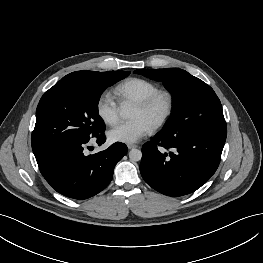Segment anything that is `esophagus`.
I'll use <instances>...</instances> for the list:
<instances>
[{"mask_svg": "<svg viewBox=\"0 0 263 263\" xmlns=\"http://www.w3.org/2000/svg\"><path fill=\"white\" fill-rule=\"evenodd\" d=\"M127 147H128V149H133V148H136L137 145H135V144H128Z\"/></svg>", "mask_w": 263, "mask_h": 263, "instance_id": "obj_1", "label": "esophagus"}]
</instances>
